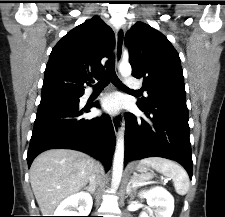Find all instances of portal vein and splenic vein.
<instances>
[{
    "label": "portal vein and splenic vein",
    "instance_id": "1",
    "mask_svg": "<svg viewBox=\"0 0 225 217\" xmlns=\"http://www.w3.org/2000/svg\"><path fill=\"white\" fill-rule=\"evenodd\" d=\"M144 184H147V183H146V182L137 183V184L133 183V186H142V185H144Z\"/></svg>",
    "mask_w": 225,
    "mask_h": 217
}]
</instances>
